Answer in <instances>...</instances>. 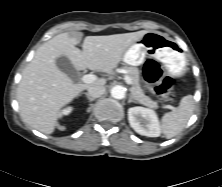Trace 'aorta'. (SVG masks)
Returning <instances> with one entry per match:
<instances>
[{
  "label": "aorta",
  "mask_w": 222,
  "mask_h": 187,
  "mask_svg": "<svg viewBox=\"0 0 222 187\" xmlns=\"http://www.w3.org/2000/svg\"><path fill=\"white\" fill-rule=\"evenodd\" d=\"M111 96L115 99H123L125 97L124 87L117 85L111 89Z\"/></svg>",
  "instance_id": "obj_1"
}]
</instances>
